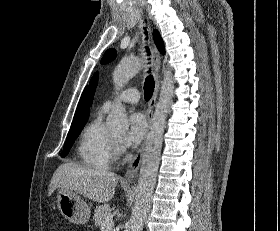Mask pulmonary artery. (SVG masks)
<instances>
[{
    "label": "pulmonary artery",
    "mask_w": 280,
    "mask_h": 231,
    "mask_svg": "<svg viewBox=\"0 0 280 231\" xmlns=\"http://www.w3.org/2000/svg\"><path fill=\"white\" fill-rule=\"evenodd\" d=\"M140 99V94L136 88H129L123 91L115 99L107 100L101 106L102 112H107L117 104L131 103L136 104Z\"/></svg>",
    "instance_id": "obj_1"
}]
</instances>
